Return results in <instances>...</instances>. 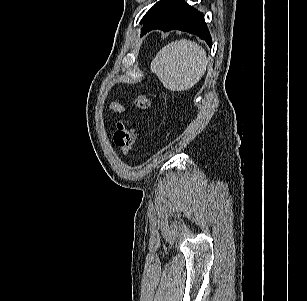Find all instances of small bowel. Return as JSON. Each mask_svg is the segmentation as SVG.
I'll list each match as a JSON object with an SVG mask.
<instances>
[{"label":"small bowel","mask_w":307,"mask_h":301,"mask_svg":"<svg viewBox=\"0 0 307 301\" xmlns=\"http://www.w3.org/2000/svg\"><path fill=\"white\" fill-rule=\"evenodd\" d=\"M111 108H112L114 111H117V112H122V111H123L122 106L119 105V104H112V105H111Z\"/></svg>","instance_id":"obj_1"}]
</instances>
